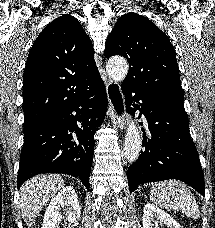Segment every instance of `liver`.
Returning <instances> with one entry per match:
<instances>
[{"label":"liver","mask_w":215,"mask_h":228,"mask_svg":"<svg viewBox=\"0 0 215 228\" xmlns=\"http://www.w3.org/2000/svg\"><path fill=\"white\" fill-rule=\"evenodd\" d=\"M65 186L60 174H41L27 180L20 188L19 202L22 218L27 228H32L36 218L49 198Z\"/></svg>","instance_id":"1"}]
</instances>
